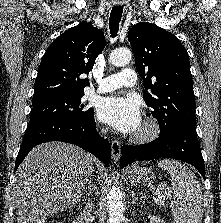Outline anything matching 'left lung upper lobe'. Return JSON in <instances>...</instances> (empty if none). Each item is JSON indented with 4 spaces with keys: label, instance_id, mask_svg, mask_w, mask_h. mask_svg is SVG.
Instances as JSON below:
<instances>
[{
    "label": "left lung upper lobe",
    "instance_id": "5c2ea615",
    "mask_svg": "<svg viewBox=\"0 0 221 223\" xmlns=\"http://www.w3.org/2000/svg\"><path fill=\"white\" fill-rule=\"evenodd\" d=\"M135 64L144 80L143 97L157 119L160 135L178 124L195 125V96L187 50L172 33L139 22L128 33Z\"/></svg>",
    "mask_w": 221,
    "mask_h": 223
}]
</instances>
